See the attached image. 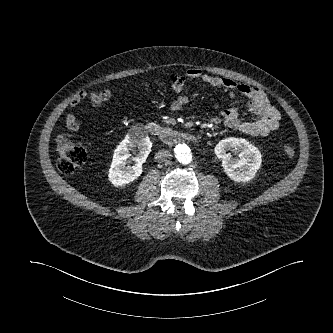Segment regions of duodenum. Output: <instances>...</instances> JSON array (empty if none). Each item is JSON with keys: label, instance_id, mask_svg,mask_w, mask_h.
Returning a JSON list of instances; mask_svg holds the SVG:
<instances>
[{"label": "duodenum", "instance_id": "410a0bca", "mask_svg": "<svg viewBox=\"0 0 333 333\" xmlns=\"http://www.w3.org/2000/svg\"><path fill=\"white\" fill-rule=\"evenodd\" d=\"M147 132L167 144H176L179 142H192L195 137L187 132L165 128L156 123H150L146 127Z\"/></svg>", "mask_w": 333, "mask_h": 333}]
</instances>
